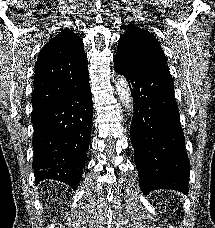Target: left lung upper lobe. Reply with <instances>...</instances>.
<instances>
[{"instance_id":"5c2ea615","label":"left lung upper lobe","mask_w":215,"mask_h":228,"mask_svg":"<svg viewBox=\"0 0 215 228\" xmlns=\"http://www.w3.org/2000/svg\"><path fill=\"white\" fill-rule=\"evenodd\" d=\"M115 56L138 68L167 67L164 52L155 36L136 26L128 27L120 37Z\"/></svg>"}]
</instances>
